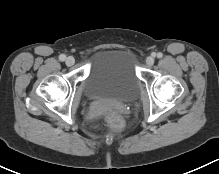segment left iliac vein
<instances>
[{
	"instance_id": "1",
	"label": "left iliac vein",
	"mask_w": 219,
	"mask_h": 174,
	"mask_svg": "<svg viewBox=\"0 0 219 174\" xmlns=\"http://www.w3.org/2000/svg\"><path fill=\"white\" fill-rule=\"evenodd\" d=\"M146 64L152 66L154 64V58L152 56L147 57Z\"/></svg>"
}]
</instances>
